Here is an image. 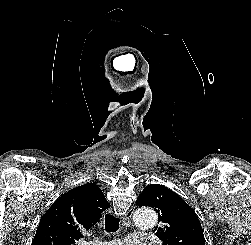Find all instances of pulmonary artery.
Here are the masks:
<instances>
[{
    "instance_id": "obj_1",
    "label": "pulmonary artery",
    "mask_w": 251,
    "mask_h": 245,
    "mask_svg": "<svg viewBox=\"0 0 251 245\" xmlns=\"http://www.w3.org/2000/svg\"><path fill=\"white\" fill-rule=\"evenodd\" d=\"M147 236H144L141 233H132L125 237L124 242L121 240H111L104 242H96L93 245H144L146 242Z\"/></svg>"
}]
</instances>
